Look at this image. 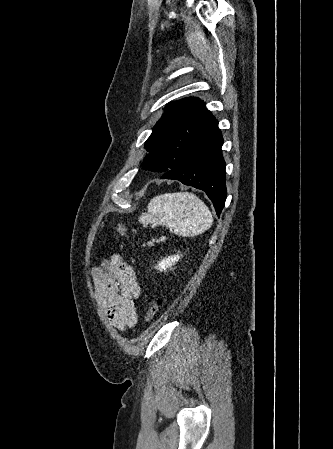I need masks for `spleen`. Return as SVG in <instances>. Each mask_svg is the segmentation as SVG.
Returning a JSON list of instances; mask_svg holds the SVG:
<instances>
[{
	"mask_svg": "<svg viewBox=\"0 0 333 449\" xmlns=\"http://www.w3.org/2000/svg\"><path fill=\"white\" fill-rule=\"evenodd\" d=\"M140 217L143 224L167 226L182 236H195L208 230L213 222L206 204L191 192H173L155 196Z\"/></svg>",
	"mask_w": 333,
	"mask_h": 449,
	"instance_id": "spleen-1",
	"label": "spleen"
}]
</instances>
